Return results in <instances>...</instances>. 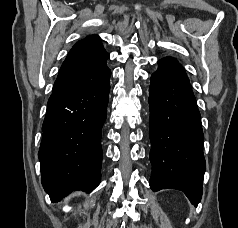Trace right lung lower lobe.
<instances>
[{
	"mask_svg": "<svg viewBox=\"0 0 238 228\" xmlns=\"http://www.w3.org/2000/svg\"><path fill=\"white\" fill-rule=\"evenodd\" d=\"M110 75L107 67L98 81L53 92L48 100L38 157L42 185L52 201L99 185Z\"/></svg>",
	"mask_w": 238,
	"mask_h": 228,
	"instance_id": "98d812e1",
	"label": "right lung lower lobe"
}]
</instances>
